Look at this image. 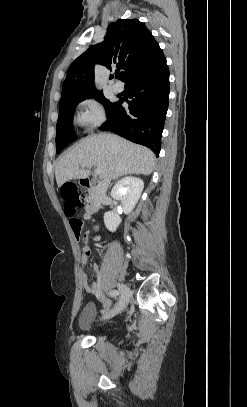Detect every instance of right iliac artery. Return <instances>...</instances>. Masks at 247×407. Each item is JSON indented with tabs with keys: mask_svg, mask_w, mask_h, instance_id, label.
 Here are the masks:
<instances>
[{
	"mask_svg": "<svg viewBox=\"0 0 247 407\" xmlns=\"http://www.w3.org/2000/svg\"><path fill=\"white\" fill-rule=\"evenodd\" d=\"M119 294H120V290H116V289L109 292V295H111V296H117Z\"/></svg>",
	"mask_w": 247,
	"mask_h": 407,
	"instance_id": "obj_1",
	"label": "right iliac artery"
}]
</instances>
